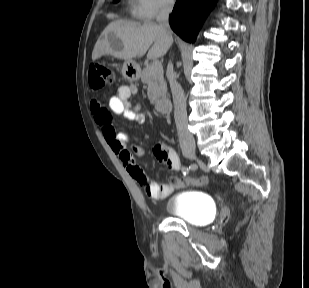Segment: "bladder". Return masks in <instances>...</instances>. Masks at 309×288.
Here are the masks:
<instances>
[{
  "instance_id": "obj_1",
  "label": "bladder",
  "mask_w": 309,
  "mask_h": 288,
  "mask_svg": "<svg viewBox=\"0 0 309 288\" xmlns=\"http://www.w3.org/2000/svg\"><path fill=\"white\" fill-rule=\"evenodd\" d=\"M164 208L169 216L194 226L208 224L214 215L211 197L199 190H184L169 196Z\"/></svg>"
}]
</instances>
